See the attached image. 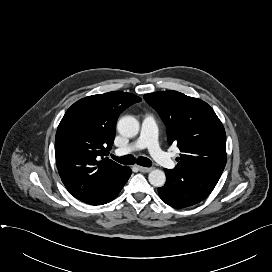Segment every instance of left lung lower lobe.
<instances>
[{"label": "left lung lower lobe", "instance_id": "left-lung-lower-lobe-1", "mask_svg": "<svg viewBox=\"0 0 272 272\" xmlns=\"http://www.w3.org/2000/svg\"><path fill=\"white\" fill-rule=\"evenodd\" d=\"M167 181L158 188L160 198L174 208H184L204 200L216 186L220 176L192 170L165 169Z\"/></svg>", "mask_w": 272, "mask_h": 272}]
</instances>
